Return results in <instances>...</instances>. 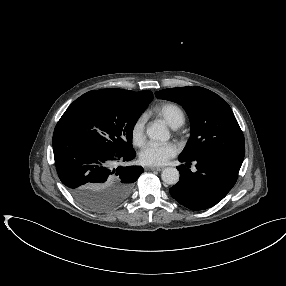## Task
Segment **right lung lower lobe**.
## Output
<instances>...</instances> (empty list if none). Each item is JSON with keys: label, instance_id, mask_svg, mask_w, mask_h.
Masks as SVG:
<instances>
[{"label": "right lung lower lobe", "instance_id": "98d812e1", "mask_svg": "<svg viewBox=\"0 0 286 286\" xmlns=\"http://www.w3.org/2000/svg\"><path fill=\"white\" fill-rule=\"evenodd\" d=\"M55 165L61 182L82 204L102 210L122 203L143 173L139 166H123L136 156L134 150L110 153L80 137L58 122L53 134Z\"/></svg>", "mask_w": 286, "mask_h": 286}]
</instances>
